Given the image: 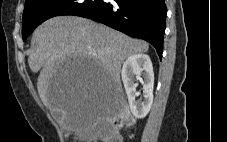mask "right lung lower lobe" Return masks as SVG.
<instances>
[{"instance_id": "1", "label": "right lung lower lobe", "mask_w": 227, "mask_h": 142, "mask_svg": "<svg viewBox=\"0 0 227 142\" xmlns=\"http://www.w3.org/2000/svg\"><path fill=\"white\" fill-rule=\"evenodd\" d=\"M166 15L165 0L104 1L78 14L151 43L160 58Z\"/></svg>"}]
</instances>
